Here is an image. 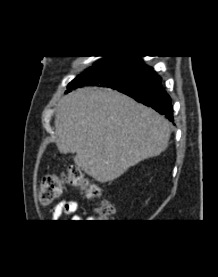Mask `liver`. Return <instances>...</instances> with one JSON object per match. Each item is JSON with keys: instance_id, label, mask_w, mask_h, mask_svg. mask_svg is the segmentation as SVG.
<instances>
[{"instance_id": "liver-1", "label": "liver", "mask_w": 218, "mask_h": 277, "mask_svg": "<svg viewBox=\"0 0 218 277\" xmlns=\"http://www.w3.org/2000/svg\"><path fill=\"white\" fill-rule=\"evenodd\" d=\"M54 124L58 150L76 153L75 164L100 183L158 156L169 141L163 116L107 88H80L62 97Z\"/></svg>"}]
</instances>
